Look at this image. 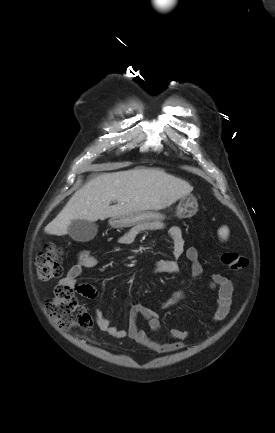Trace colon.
<instances>
[{"instance_id": "obj_1", "label": "colon", "mask_w": 275, "mask_h": 433, "mask_svg": "<svg viewBox=\"0 0 275 433\" xmlns=\"http://www.w3.org/2000/svg\"><path fill=\"white\" fill-rule=\"evenodd\" d=\"M221 261L230 270H241L248 264L247 258L237 251L222 254ZM35 265L39 279L48 280L60 276L63 270L60 249L52 242L47 243L45 251L36 256ZM46 312L63 330L78 328L87 331L93 326L89 312L78 302L73 290L66 286L55 289L53 298L46 303Z\"/></svg>"}]
</instances>
